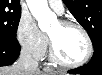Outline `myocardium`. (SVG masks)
Masks as SVG:
<instances>
[{
    "label": "myocardium",
    "mask_w": 102,
    "mask_h": 75,
    "mask_svg": "<svg viewBox=\"0 0 102 75\" xmlns=\"http://www.w3.org/2000/svg\"><path fill=\"white\" fill-rule=\"evenodd\" d=\"M58 23L61 27H64V28L75 27L82 32V34L84 35L85 41H86V54L84 55L82 59H80L77 62H72V63L66 62L63 59H61V57L59 56L58 51L51 37L49 36L48 38L49 39V54H50L51 60L55 62L56 64L63 66V67H77L79 65L86 63L90 59L92 52H93L92 41H91V38L87 30L75 20L64 19V20H60Z\"/></svg>",
    "instance_id": "myocardium-1"
}]
</instances>
